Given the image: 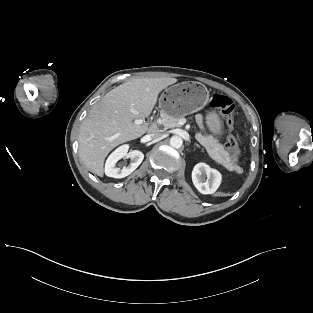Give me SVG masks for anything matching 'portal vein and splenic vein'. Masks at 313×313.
Masks as SVG:
<instances>
[{"mask_svg": "<svg viewBox=\"0 0 313 313\" xmlns=\"http://www.w3.org/2000/svg\"><path fill=\"white\" fill-rule=\"evenodd\" d=\"M130 112L133 113V114H136V115L139 114V112L136 109H134V108H130ZM143 122H144V119H137V120H135V123L138 124V125L142 124ZM185 122L186 121L184 119H180L179 125H183V124H185Z\"/></svg>", "mask_w": 313, "mask_h": 313, "instance_id": "18ae733b", "label": "portal vein and splenic vein"}]
</instances>
